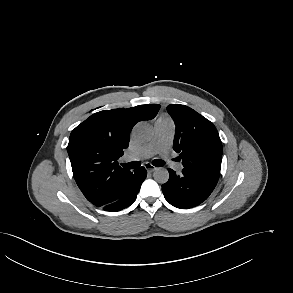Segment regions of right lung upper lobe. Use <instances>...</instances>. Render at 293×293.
<instances>
[{
	"label": "right lung upper lobe",
	"instance_id": "obj_1",
	"mask_svg": "<svg viewBox=\"0 0 293 293\" xmlns=\"http://www.w3.org/2000/svg\"><path fill=\"white\" fill-rule=\"evenodd\" d=\"M160 105L104 110L91 115L71 133L67 151L73 176L84 196L95 206L116 201L134 172L117 160L129 145L133 126L154 118Z\"/></svg>",
	"mask_w": 293,
	"mask_h": 293
}]
</instances>
